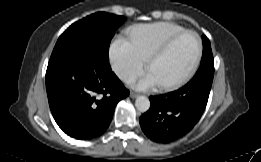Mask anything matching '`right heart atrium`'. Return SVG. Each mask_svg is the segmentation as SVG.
<instances>
[{
  "instance_id": "1",
  "label": "right heart atrium",
  "mask_w": 261,
  "mask_h": 162,
  "mask_svg": "<svg viewBox=\"0 0 261 162\" xmlns=\"http://www.w3.org/2000/svg\"><path fill=\"white\" fill-rule=\"evenodd\" d=\"M109 58L113 71L117 76L128 81L140 74L145 66V59L125 38H117L110 46Z\"/></svg>"
}]
</instances>
